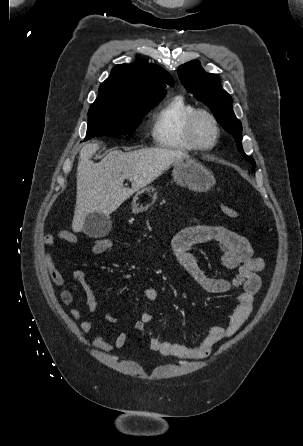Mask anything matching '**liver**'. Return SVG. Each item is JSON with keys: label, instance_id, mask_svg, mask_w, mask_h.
Masks as SVG:
<instances>
[{"label": "liver", "instance_id": "6515ba94", "mask_svg": "<svg viewBox=\"0 0 303 446\" xmlns=\"http://www.w3.org/2000/svg\"><path fill=\"white\" fill-rule=\"evenodd\" d=\"M97 143L85 144L77 167V199L72 222L74 232L83 230L85 218L92 213L108 216L136 191L147 186L171 164L188 155L170 149H140L131 152L110 151L99 163L91 158ZM125 179L131 188L123 185Z\"/></svg>", "mask_w": 303, "mask_h": 446}]
</instances>
